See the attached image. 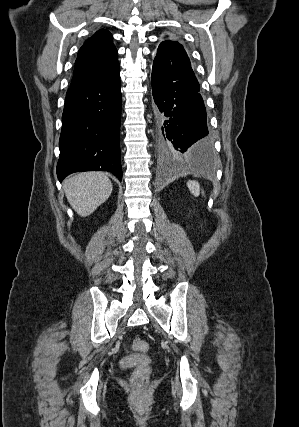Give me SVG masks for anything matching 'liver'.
<instances>
[{
    "label": "liver",
    "mask_w": 299,
    "mask_h": 427,
    "mask_svg": "<svg viewBox=\"0 0 299 427\" xmlns=\"http://www.w3.org/2000/svg\"><path fill=\"white\" fill-rule=\"evenodd\" d=\"M66 197L82 217L92 214L112 193V183L102 172H81L64 181Z\"/></svg>",
    "instance_id": "liver-1"
}]
</instances>
